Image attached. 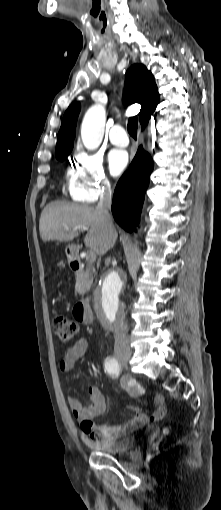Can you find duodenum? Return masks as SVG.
Here are the masks:
<instances>
[{
  "instance_id": "1",
  "label": "duodenum",
  "mask_w": 221,
  "mask_h": 510,
  "mask_svg": "<svg viewBox=\"0 0 221 510\" xmlns=\"http://www.w3.org/2000/svg\"><path fill=\"white\" fill-rule=\"evenodd\" d=\"M71 269L74 272L81 273L83 272L82 263L80 257L73 251L72 257L70 261ZM75 315L83 322V323H91L93 321V314L89 308V301L87 299H83L78 302L74 308Z\"/></svg>"
}]
</instances>
